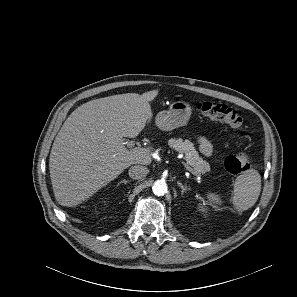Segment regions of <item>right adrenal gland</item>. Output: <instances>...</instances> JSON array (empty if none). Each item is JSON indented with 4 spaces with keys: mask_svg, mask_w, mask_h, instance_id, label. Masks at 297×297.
Segmentation results:
<instances>
[{
    "mask_svg": "<svg viewBox=\"0 0 297 297\" xmlns=\"http://www.w3.org/2000/svg\"><path fill=\"white\" fill-rule=\"evenodd\" d=\"M128 182H129L128 180L124 179V180L120 181L119 184H121V183L127 184Z\"/></svg>",
    "mask_w": 297,
    "mask_h": 297,
    "instance_id": "obj_1",
    "label": "right adrenal gland"
}]
</instances>
